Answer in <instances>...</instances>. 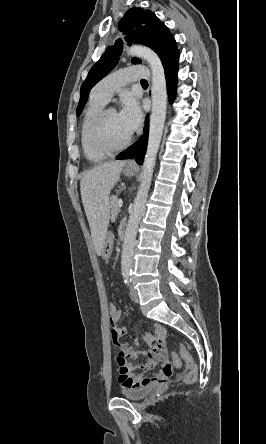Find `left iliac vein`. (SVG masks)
<instances>
[{
	"instance_id": "4c4485c4",
	"label": "left iliac vein",
	"mask_w": 266,
	"mask_h": 444,
	"mask_svg": "<svg viewBox=\"0 0 266 444\" xmlns=\"http://www.w3.org/2000/svg\"><path fill=\"white\" fill-rule=\"evenodd\" d=\"M130 295L133 302L135 303L139 302L138 292L132 285L130 286Z\"/></svg>"
}]
</instances>
